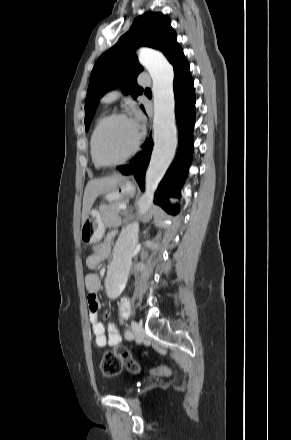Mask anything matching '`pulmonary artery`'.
Here are the masks:
<instances>
[{
    "mask_svg": "<svg viewBox=\"0 0 291 440\" xmlns=\"http://www.w3.org/2000/svg\"><path fill=\"white\" fill-rule=\"evenodd\" d=\"M149 80L150 78L146 73H141L137 77V83L141 86L147 85ZM119 94V89L110 90L103 96V101L107 104L113 103L118 98Z\"/></svg>",
    "mask_w": 291,
    "mask_h": 440,
    "instance_id": "e3ab8cb5",
    "label": "pulmonary artery"
}]
</instances>
